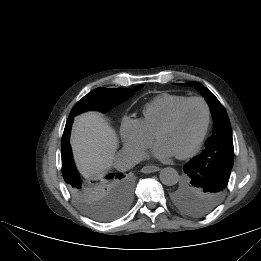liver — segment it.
Wrapping results in <instances>:
<instances>
[{
	"mask_svg": "<svg viewBox=\"0 0 261 261\" xmlns=\"http://www.w3.org/2000/svg\"><path fill=\"white\" fill-rule=\"evenodd\" d=\"M71 146L80 172L94 178L112 166L118 140L115 131L100 114L87 112L76 119Z\"/></svg>",
	"mask_w": 261,
	"mask_h": 261,
	"instance_id": "liver-1",
	"label": "liver"
}]
</instances>
